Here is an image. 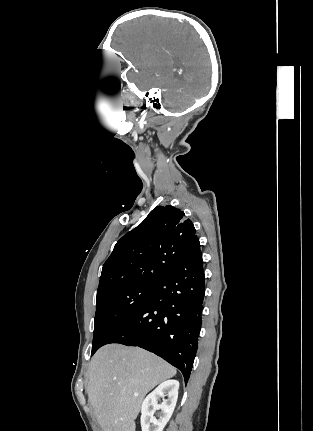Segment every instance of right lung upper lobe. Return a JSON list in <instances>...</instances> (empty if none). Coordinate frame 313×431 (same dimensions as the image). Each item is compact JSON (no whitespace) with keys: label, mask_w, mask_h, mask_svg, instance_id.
I'll return each mask as SVG.
<instances>
[{"label":"right lung upper lobe","mask_w":313,"mask_h":431,"mask_svg":"<svg viewBox=\"0 0 313 431\" xmlns=\"http://www.w3.org/2000/svg\"><path fill=\"white\" fill-rule=\"evenodd\" d=\"M184 215L171 205L157 206L124 235L103 265L97 299L125 288L158 285L198 239Z\"/></svg>","instance_id":"obj_1"}]
</instances>
